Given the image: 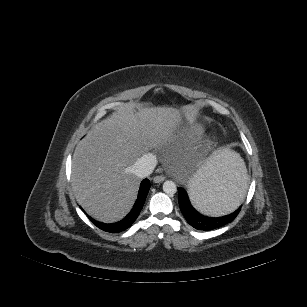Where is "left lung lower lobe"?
<instances>
[{
  "instance_id": "0a47b994",
  "label": "left lung lower lobe",
  "mask_w": 307,
  "mask_h": 307,
  "mask_svg": "<svg viewBox=\"0 0 307 307\" xmlns=\"http://www.w3.org/2000/svg\"><path fill=\"white\" fill-rule=\"evenodd\" d=\"M236 175H238V173L235 171L231 173V175H229V177L233 178H230L232 180H229L230 182H227L228 183L227 185L230 188L229 190H231V188H235V190L239 192V197H241L242 201L247 189V180L246 177L236 178ZM178 192H179V206L182 214L184 215L188 224H190L192 227L198 230L208 231L222 227L228 224L229 222L233 221L241 210L240 206L237 210H235L233 213L229 215L222 217H207L200 214L192 207L187 192L183 188L179 187Z\"/></svg>"
}]
</instances>
